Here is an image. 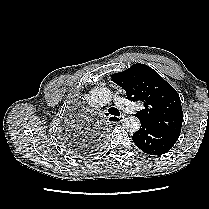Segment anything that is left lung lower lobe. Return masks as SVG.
Instances as JSON below:
<instances>
[{
	"mask_svg": "<svg viewBox=\"0 0 209 209\" xmlns=\"http://www.w3.org/2000/svg\"><path fill=\"white\" fill-rule=\"evenodd\" d=\"M179 135L159 130L141 122L140 129L133 134V142L144 153L162 155L169 151Z\"/></svg>",
	"mask_w": 209,
	"mask_h": 209,
	"instance_id": "1",
	"label": "left lung lower lobe"
}]
</instances>
